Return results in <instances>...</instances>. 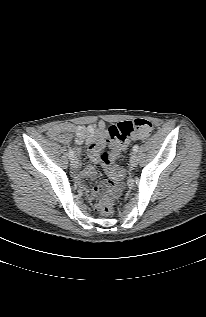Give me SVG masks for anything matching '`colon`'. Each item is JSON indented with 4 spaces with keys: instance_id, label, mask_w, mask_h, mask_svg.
Returning a JSON list of instances; mask_svg holds the SVG:
<instances>
[{
    "instance_id": "obj_1",
    "label": "colon",
    "mask_w": 206,
    "mask_h": 317,
    "mask_svg": "<svg viewBox=\"0 0 206 317\" xmlns=\"http://www.w3.org/2000/svg\"><path fill=\"white\" fill-rule=\"evenodd\" d=\"M153 125L146 119L137 118L119 122L112 125L108 129V142L117 149L123 148L131 138H146L151 135ZM100 160L104 163L110 180L100 187V192L104 195L98 204L103 214H111L113 212L112 194L118 193L123 186V171L117 167L112 157L106 152H100Z\"/></svg>"
}]
</instances>
